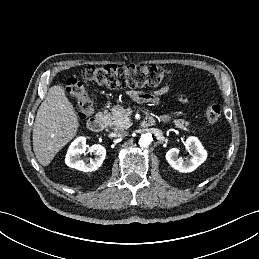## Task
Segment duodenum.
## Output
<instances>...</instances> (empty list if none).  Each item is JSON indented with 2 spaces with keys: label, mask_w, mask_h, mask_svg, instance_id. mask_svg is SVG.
<instances>
[{
  "label": "duodenum",
  "mask_w": 259,
  "mask_h": 259,
  "mask_svg": "<svg viewBox=\"0 0 259 259\" xmlns=\"http://www.w3.org/2000/svg\"><path fill=\"white\" fill-rule=\"evenodd\" d=\"M151 123L150 117H146L143 120L144 125H149ZM88 128L93 132H101L107 126V119L103 115H97L88 120Z\"/></svg>",
  "instance_id": "1"
}]
</instances>
